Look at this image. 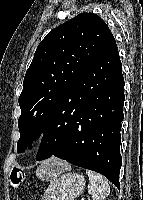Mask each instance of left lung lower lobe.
<instances>
[{
    "instance_id": "0a47b994",
    "label": "left lung lower lobe",
    "mask_w": 143,
    "mask_h": 200,
    "mask_svg": "<svg viewBox=\"0 0 143 200\" xmlns=\"http://www.w3.org/2000/svg\"><path fill=\"white\" fill-rule=\"evenodd\" d=\"M124 100L122 64L113 38L66 91L61 106L68 113L61 124L55 114L47 123L36 160L54 155L97 171L120 188Z\"/></svg>"
}]
</instances>
